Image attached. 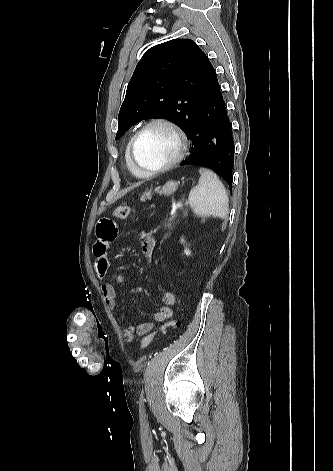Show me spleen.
Returning a JSON list of instances; mask_svg holds the SVG:
<instances>
[{"mask_svg": "<svg viewBox=\"0 0 333 471\" xmlns=\"http://www.w3.org/2000/svg\"><path fill=\"white\" fill-rule=\"evenodd\" d=\"M201 177L189 193V204L193 212L200 217H218L225 219L228 214V197L224 185L215 173L200 168Z\"/></svg>", "mask_w": 333, "mask_h": 471, "instance_id": "obj_1", "label": "spleen"}]
</instances>
